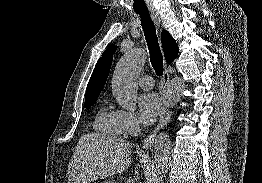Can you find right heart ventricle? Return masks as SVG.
Wrapping results in <instances>:
<instances>
[{
  "instance_id": "right-heart-ventricle-1",
  "label": "right heart ventricle",
  "mask_w": 262,
  "mask_h": 183,
  "mask_svg": "<svg viewBox=\"0 0 262 183\" xmlns=\"http://www.w3.org/2000/svg\"><path fill=\"white\" fill-rule=\"evenodd\" d=\"M94 128L111 136L122 135V130L119 126L116 112L102 107L96 114L94 121Z\"/></svg>"
}]
</instances>
